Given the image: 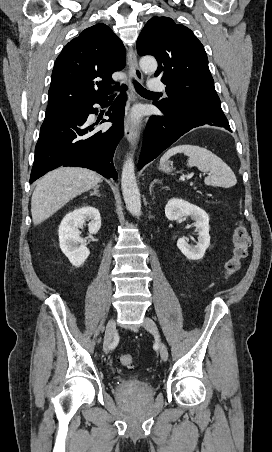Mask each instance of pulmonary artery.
<instances>
[{"instance_id": "obj_1", "label": "pulmonary artery", "mask_w": 272, "mask_h": 452, "mask_svg": "<svg viewBox=\"0 0 272 452\" xmlns=\"http://www.w3.org/2000/svg\"><path fill=\"white\" fill-rule=\"evenodd\" d=\"M165 83L160 81L157 78H153L150 80L149 89L153 92H161L165 90Z\"/></svg>"}]
</instances>
